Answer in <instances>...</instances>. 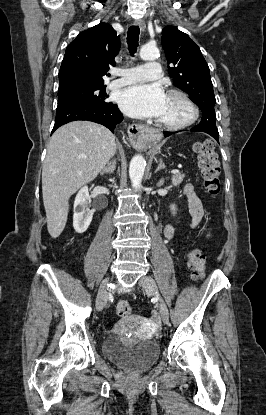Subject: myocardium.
<instances>
[{"label": "myocardium", "instance_id": "obj_1", "mask_svg": "<svg viewBox=\"0 0 266 415\" xmlns=\"http://www.w3.org/2000/svg\"><path fill=\"white\" fill-rule=\"evenodd\" d=\"M167 95L169 97L177 98L182 103H184L190 110V116L187 120L181 123H166V122H162L158 120L156 122L157 125L163 129L173 130V131L182 130L193 125L199 117V110L196 104L189 98L187 94H185L184 92L180 90H176V89L169 90Z\"/></svg>", "mask_w": 266, "mask_h": 415}]
</instances>
